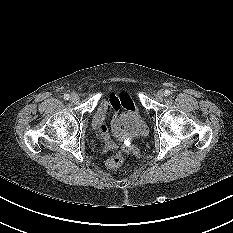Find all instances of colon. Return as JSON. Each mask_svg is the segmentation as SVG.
Returning a JSON list of instances; mask_svg holds the SVG:
<instances>
[{
	"label": "colon",
	"instance_id": "1",
	"mask_svg": "<svg viewBox=\"0 0 233 233\" xmlns=\"http://www.w3.org/2000/svg\"><path fill=\"white\" fill-rule=\"evenodd\" d=\"M123 155L120 154V153H117L115 155H113L112 157H110L107 161V166L110 168V169H117L119 166L122 165L123 163Z\"/></svg>",
	"mask_w": 233,
	"mask_h": 233
}]
</instances>
